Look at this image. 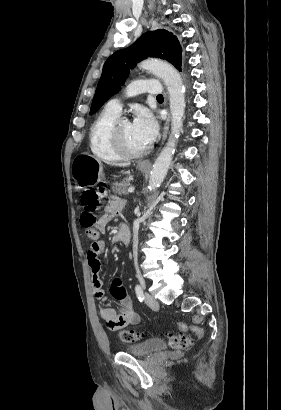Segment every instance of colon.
I'll use <instances>...</instances> for the list:
<instances>
[{"instance_id": "obj_1", "label": "colon", "mask_w": 281, "mask_h": 410, "mask_svg": "<svg viewBox=\"0 0 281 410\" xmlns=\"http://www.w3.org/2000/svg\"><path fill=\"white\" fill-rule=\"evenodd\" d=\"M105 192L101 186L98 190H86L81 196V205L83 211L80 217V225L85 229L87 235L96 240L98 238V207L100 200ZM177 329L181 332L179 335L167 334L166 339L169 345L174 349H186L192 344V334L197 336L203 335V330L193 324L178 322ZM144 337V333L136 330H123L120 332V339L125 343L136 342Z\"/></svg>"}]
</instances>
